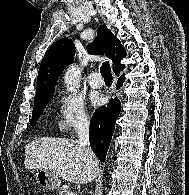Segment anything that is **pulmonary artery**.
<instances>
[{"instance_id":"1","label":"pulmonary artery","mask_w":189,"mask_h":195,"mask_svg":"<svg viewBox=\"0 0 189 195\" xmlns=\"http://www.w3.org/2000/svg\"><path fill=\"white\" fill-rule=\"evenodd\" d=\"M88 83L93 89H100L103 86V79L99 72L93 71L88 77Z\"/></svg>"}]
</instances>
